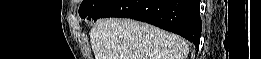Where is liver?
Listing matches in <instances>:
<instances>
[{"mask_svg": "<svg viewBox=\"0 0 261 59\" xmlns=\"http://www.w3.org/2000/svg\"><path fill=\"white\" fill-rule=\"evenodd\" d=\"M90 42L95 59H186L188 54L180 36L130 19L100 20Z\"/></svg>", "mask_w": 261, "mask_h": 59, "instance_id": "1", "label": "liver"}]
</instances>
